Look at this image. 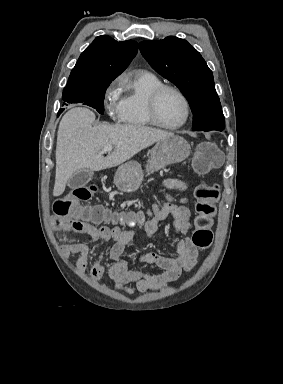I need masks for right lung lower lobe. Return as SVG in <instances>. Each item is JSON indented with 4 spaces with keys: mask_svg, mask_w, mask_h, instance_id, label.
Listing matches in <instances>:
<instances>
[{
    "mask_svg": "<svg viewBox=\"0 0 283 384\" xmlns=\"http://www.w3.org/2000/svg\"><path fill=\"white\" fill-rule=\"evenodd\" d=\"M61 112H62V110H60V111L58 112V115H60Z\"/></svg>",
    "mask_w": 283,
    "mask_h": 384,
    "instance_id": "98d812e1",
    "label": "right lung lower lobe"
}]
</instances>
